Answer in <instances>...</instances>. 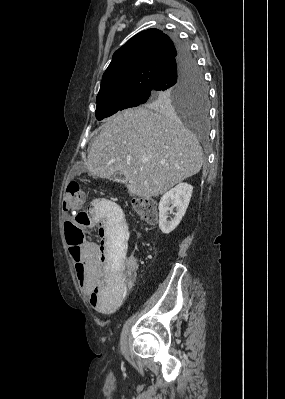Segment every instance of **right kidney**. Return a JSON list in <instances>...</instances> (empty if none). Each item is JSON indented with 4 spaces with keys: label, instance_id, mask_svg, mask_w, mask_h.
Wrapping results in <instances>:
<instances>
[{
    "label": "right kidney",
    "instance_id": "ca27d5eb",
    "mask_svg": "<svg viewBox=\"0 0 285 399\" xmlns=\"http://www.w3.org/2000/svg\"><path fill=\"white\" fill-rule=\"evenodd\" d=\"M192 191L190 184L180 183L162 196L159 202V228L162 233L169 234L178 226L185 215ZM174 208V218L168 221V212L172 213Z\"/></svg>",
    "mask_w": 285,
    "mask_h": 399
}]
</instances>
